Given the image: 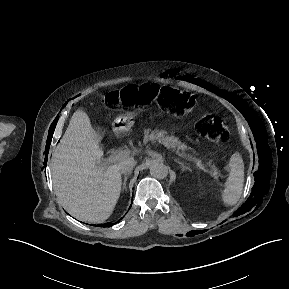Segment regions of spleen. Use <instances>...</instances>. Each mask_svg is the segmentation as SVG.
Here are the masks:
<instances>
[{"mask_svg": "<svg viewBox=\"0 0 289 289\" xmlns=\"http://www.w3.org/2000/svg\"><path fill=\"white\" fill-rule=\"evenodd\" d=\"M229 176L221 193L225 206L235 205L242 194L244 184V163L239 153H234L229 160Z\"/></svg>", "mask_w": 289, "mask_h": 289, "instance_id": "3e777b00", "label": "spleen"}]
</instances>
